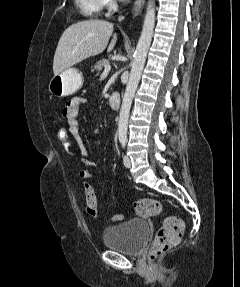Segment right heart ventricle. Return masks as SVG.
<instances>
[{
    "mask_svg": "<svg viewBox=\"0 0 240 287\" xmlns=\"http://www.w3.org/2000/svg\"><path fill=\"white\" fill-rule=\"evenodd\" d=\"M76 6L85 17H96L100 15L103 8L102 0H75Z\"/></svg>",
    "mask_w": 240,
    "mask_h": 287,
    "instance_id": "e07e8e85",
    "label": "right heart ventricle"
}]
</instances>
